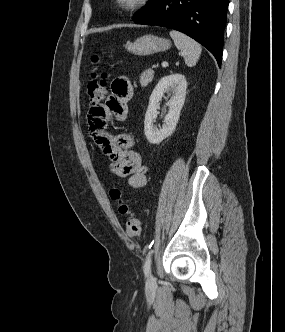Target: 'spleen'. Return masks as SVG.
<instances>
[{"label":"spleen","mask_w":285,"mask_h":332,"mask_svg":"<svg viewBox=\"0 0 285 332\" xmlns=\"http://www.w3.org/2000/svg\"><path fill=\"white\" fill-rule=\"evenodd\" d=\"M170 36L174 40L175 46L181 51L187 66H194L200 55L202 48L195 40L179 31H170Z\"/></svg>","instance_id":"spleen-1"}]
</instances>
